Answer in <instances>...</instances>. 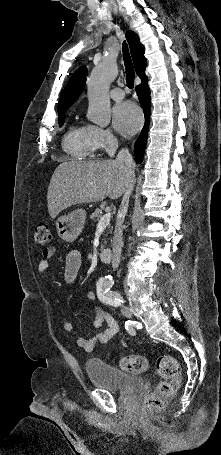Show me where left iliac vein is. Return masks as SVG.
<instances>
[{"mask_svg": "<svg viewBox=\"0 0 221 455\" xmlns=\"http://www.w3.org/2000/svg\"><path fill=\"white\" fill-rule=\"evenodd\" d=\"M121 311H122V313H123V315H124L125 317H127V318H131V317H132L131 310H130L128 307H126V306L123 305V306L121 307Z\"/></svg>", "mask_w": 221, "mask_h": 455, "instance_id": "1", "label": "left iliac vein"}]
</instances>
